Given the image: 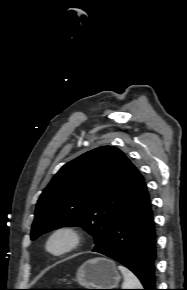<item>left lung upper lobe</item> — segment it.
Segmentation results:
<instances>
[{"label": "left lung upper lobe", "instance_id": "left-lung-upper-lobe-1", "mask_svg": "<svg viewBox=\"0 0 187 290\" xmlns=\"http://www.w3.org/2000/svg\"><path fill=\"white\" fill-rule=\"evenodd\" d=\"M144 182L126 155L112 146L65 164L45 188L35 211L31 239L63 226H80L102 245L124 203Z\"/></svg>", "mask_w": 187, "mask_h": 290}]
</instances>
